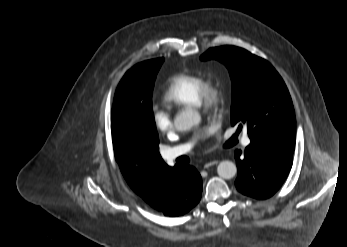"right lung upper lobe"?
Listing matches in <instances>:
<instances>
[{
    "label": "right lung upper lobe",
    "mask_w": 347,
    "mask_h": 247,
    "mask_svg": "<svg viewBox=\"0 0 347 247\" xmlns=\"http://www.w3.org/2000/svg\"><path fill=\"white\" fill-rule=\"evenodd\" d=\"M112 141L115 159L129 186L151 206L164 208L173 167L165 164L159 152L124 143L113 135Z\"/></svg>",
    "instance_id": "cb5924a9"
}]
</instances>
